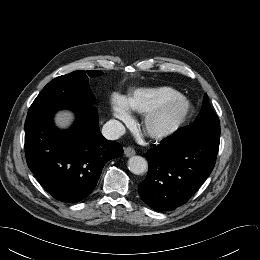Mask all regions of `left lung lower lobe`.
I'll return each instance as SVG.
<instances>
[{"mask_svg":"<svg viewBox=\"0 0 260 260\" xmlns=\"http://www.w3.org/2000/svg\"><path fill=\"white\" fill-rule=\"evenodd\" d=\"M219 140L171 135L145 154L149 170L139 184L152 209L169 211L186 203L212 172Z\"/></svg>","mask_w":260,"mask_h":260,"instance_id":"obj_1","label":"left lung lower lobe"}]
</instances>
